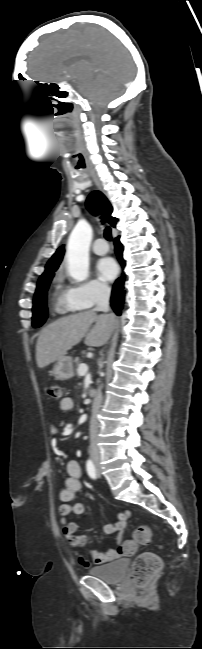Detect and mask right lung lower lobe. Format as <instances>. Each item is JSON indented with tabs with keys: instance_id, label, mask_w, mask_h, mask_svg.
<instances>
[{
	"instance_id": "obj_1",
	"label": "right lung lower lobe",
	"mask_w": 202,
	"mask_h": 649,
	"mask_svg": "<svg viewBox=\"0 0 202 649\" xmlns=\"http://www.w3.org/2000/svg\"><path fill=\"white\" fill-rule=\"evenodd\" d=\"M114 244H115V252L117 254L118 260L121 263V265L124 266V260L122 258L123 248L119 241V237L115 238ZM124 296H125L124 278L120 277L115 281L113 285L112 294L110 298V305L117 315H121V310L123 308V303H124Z\"/></svg>"
}]
</instances>
